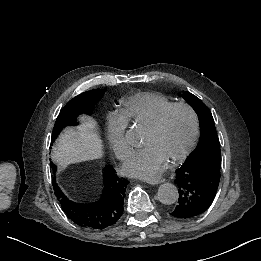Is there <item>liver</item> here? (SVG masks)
I'll return each instance as SVG.
<instances>
[{
    "mask_svg": "<svg viewBox=\"0 0 261 261\" xmlns=\"http://www.w3.org/2000/svg\"><path fill=\"white\" fill-rule=\"evenodd\" d=\"M92 131L96 125L90 121ZM101 153V143L95 133H90L86 128L76 131H66L53 149V159L63 160L79 156L87 159L97 158Z\"/></svg>",
    "mask_w": 261,
    "mask_h": 261,
    "instance_id": "obj_1",
    "label": "liver"
}]
</instances>
